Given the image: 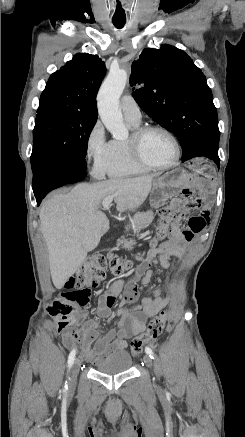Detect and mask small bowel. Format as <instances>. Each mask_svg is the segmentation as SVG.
Listing matches in <instances>:
<instances>
[{"instance_id":"1","label":"small bowel","mask_w":245,"mask_h":437,"mask_svg":"<svg viewBox=\"0 0 245 437\" xmlns=\"http://www.w3.org/2000/svg\"><path fill=\"white\" fill-rule=\"evenodd\" d=\"M188 173L194 180H218L219 173L211 162H199L198 159H191ZM201 192H210V183H201ZM204 204L202 197H188L185 206L189 208H200ZM182 217L177 218L171 225L170 238L162 242L158 248L149 250L147 259L140 266L132 279L125 285L123 281L116 280L110 287L109 292L98 297L96 313L100 318L112 317V308L115 297L123 290V302L118 308L113 319V325L109 332L98 338V328L94 321L87 320L84 323V334L81 338L75 339L62 334L63 342L67 347L77 341L80 342L85 356L91 361H97L106 356L127 347V339L141 333L145 329L146 321L155 316L164 306L165 298L161 295V289H155L150 296L144 298L139 304L137 283L146 284L151 277L150 267L160 264L162 268L170 266V260L180 255L193 237L194 234L202 231L208 223L207 211L192 217L188 221V227L181 230Z\"/></svg>"}]
</instances>
